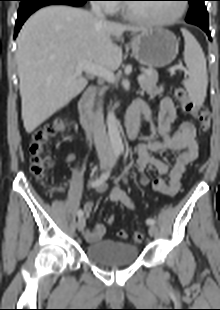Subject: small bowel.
Returning a JSON list of instances; mask_svg holds the SVG:
<instances>
[{"label":"small bowel","mask_w":220,"mask_h":310,"mask_svg":"<svg viewBox=\"0 0 220 310\" xmlns=\"http://www.w3.org/2000/svg\"><path fill=\"white\" fill-rule=\"evenodd\" d=\"M130 109L139 112L149 121H155L158 126V133L161 136L160 140L149 141L138 147L137 169L140 174V183L143 186L149 184V179L144 175V171L148 166H153L157 170L159 177L152 181V189L168 196H175L180 191L181 178L187 166L198 155V142L194 124L184 121L181 123L179 130L175 134H171V125L176 118V111L173 101L169 97L162 100L157 115H153L149 107L141 101L134 103ZM162 151L179 152L172 168H169L167 162L155 155ZM74 158L75 156L70 154L66 157V161L71 162ZM96 190L99 193L106 194L111 202L122 204L131 210L134 209L132 200L123 191L109 189L104 184L97 186ZM92 207V202L85 203L86 217H88ZM105 233L106 227L98 223L93 228H86L83 235L86 241L94 243L102 240Z\"/></svg>","instance_id":"small-bowel-1"}]
</instances>
